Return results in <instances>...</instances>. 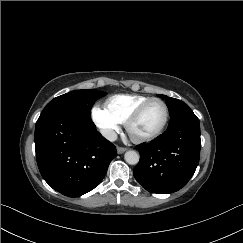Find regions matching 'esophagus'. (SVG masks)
<instances>
[{"mask_svg": "<svg viewBox=\"0 0 243 243\" xmlns=\"http://www.w3.org/2000/svg\"><path fill=\"white\" fill-rule=\"evenodd\" d=\"M125 151H127V148H125V147H117V153L118 154H123Z\"/></svg>", "mask_w": 243, "mask_h": 243, "instance_id": "34e87169", "label": "esophagus"}]
</instances>
